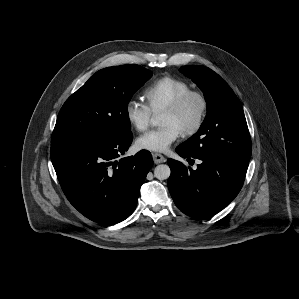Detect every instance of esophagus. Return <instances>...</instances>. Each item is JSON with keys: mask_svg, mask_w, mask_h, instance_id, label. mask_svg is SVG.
Instances as JSON below:
<instances>
[{"mask_svg": "<svg viewBox=\"0 0 299 299\" xmlns=\"http://www.w3.org/2000/svg\"><path fill=\"white\" fill-rule=\"evenodd\" d=\"M152 157H153V160H154L155 164L163 163V162L166 161V158L163 155L159 154V153H153Z\"/></svg>", "mask_w": 299, "mask_h": 299, "instance_id": "esophagus-1", "label": "esophagus"}]
</instances>
